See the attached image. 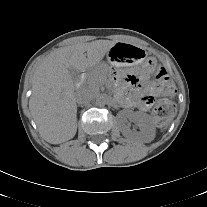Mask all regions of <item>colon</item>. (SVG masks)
I'll return each mask as SVG.
<instances>
[{"label":"colon","instance_id":"5ec220e1","mask_svg":"<svg viewBox=\"0 0 207 207\" xmlns=\"http://www.w3.org/2000/svg\"><path fill=\"white\" fill-rule=\"evenodd\" d=\"M148 65L155 73L156 93L163 98L154 109L153 116L158 125L163 127L167 118L175 112L174 104L167 98L174 96L176 87L165 68L160 66L155 59H149Z\"/></svg>","mask_w":207,"mask_h":207}]
</instances>
